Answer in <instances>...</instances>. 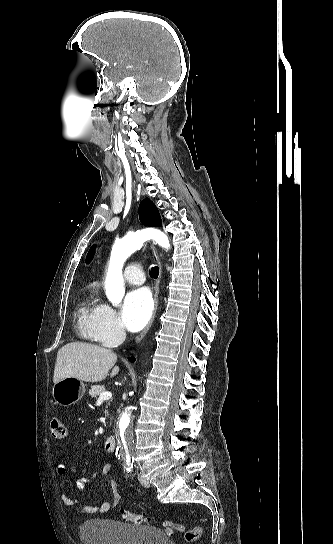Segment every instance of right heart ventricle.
Returning <instances> with one entry per match:
<instances>
[{
    "instance_id": "1",
    "label": "right heart ventricle",
    "mask_w": 333,
    "mask_h": 544,
    "mask_svg": "<svg viewBox=\"0 0 333 544\" xmlns=\"http://www.w3.org/2000/svg\"><path fill=\"white\" fill-rule=\"evenodd\" d=\"M98 306L83 304L79 310V321L83 334L91 339H95L91 330V321Z\"/></svg>"
}]
</instances>
